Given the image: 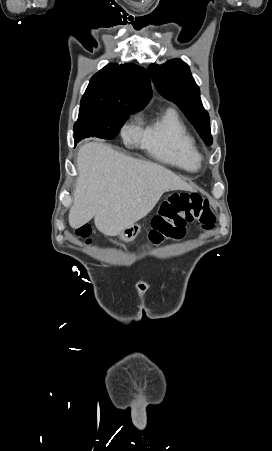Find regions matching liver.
I'll list each match as a JSON object with an SVG mask.
<instances>
[{"label": "liver", "instance_id": "liver-1", "mask_svg": "<svg viewBox=\"0 0 272 451\" xmlns=\"http://www.w3.org/2000/svg\"><path fill=\"white\" fill-rule=\"evenodd\" d=\"M77 170L69 224L80 227L94 218L105 235H118L145 218L164 192L192 190L164 166L135 160L97 142L81 146Z\"/></svg>", "mask_w": 272, "mask_h": 451}]
</instances>
